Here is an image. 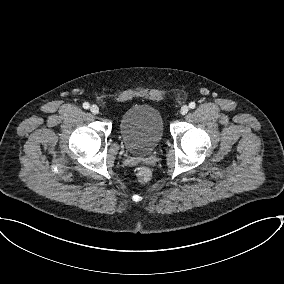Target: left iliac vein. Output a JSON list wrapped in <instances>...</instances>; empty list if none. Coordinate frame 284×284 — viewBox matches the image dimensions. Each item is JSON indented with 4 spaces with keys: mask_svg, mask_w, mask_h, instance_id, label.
Listing matches in <instances>:
<instances>
[{
    "mask_svg": "<svg viewBox=\"0 0 284 284\" xmlns=\"http://www.w3.org/2000/svg\"><path fill=\"white\" fill-rule=\"evenodd\" d=\"M188 111H189V107L187 105H183L180 109V112H181L182 115L187 114Z\"/></svg>",
    "mask_w": 284,
    "mask_h": 284,
    "instance_id": "obj_1",
    "label": "left iliac vein"
}]
</instances>
